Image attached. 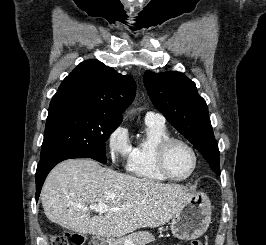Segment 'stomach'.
<instances>
[{
  "label": "stomach",
  "instance_id": "stomach-1",
  "mask_svg": "<svg viewBox=\"0 0 266 245\" xmlns=\"http://www.w3.org/2000/svg\"><path fill=\"white\" fill-rule=\"evenodd\" d=\"M211 203L206 193H196L180 211L175 213L171 231L173 237L182 241L198 239L206 233L211 223Z\"/></svg>",
  "mask_w": 266,
  "mask_h": 245
}]
</instances>
